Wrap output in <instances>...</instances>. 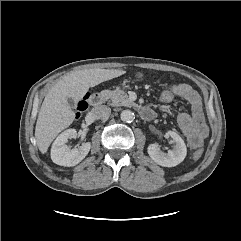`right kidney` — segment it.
Segmentation results:
<instances>
[{
	"instance_id": "1",
	"label": "right kidney",
	"mask_w": 241,
	"mask_h": 241,
	"mask_svg": "<svg viewBox=\"0 0 241 241\" xmlns=\"http://www.w3.org/2000/svg\"><path fill=\"white\" fill-rule=\"evenodd\" d=\"M76 136L75 129H67L56 138L51 148V159L55 164L66 167L75 166L87 156L91 148L90 142L73 149L66 145L70 139L76 138Z\"/></svg>"
}]
</instances>
